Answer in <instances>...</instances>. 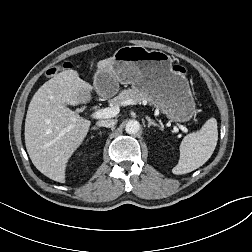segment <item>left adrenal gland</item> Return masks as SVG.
<instances>
[{"instance_id": "a2214340", "label": "left adrenal gland", "mask_w": 252, "mask_h": 252, "mask_svg": "<svg viewBox=\"0 0 252 252\" xmlns=\"http://www.w3.org/2000/svg\"><path fill=\"white\" fill-rule=\"evenodd\" d=\"M146 120L148 121V127L149 128L151 126H155V127H158L160 130H162V128L154 120H152L150 117L146 116Z\"/></svg>"}]
</instances>
